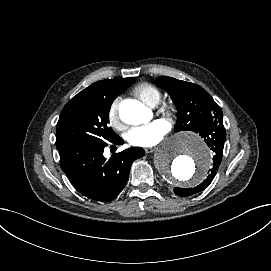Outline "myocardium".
Listing matches in <instances>:
<instances>
[{"label": "myocardium", "instance_id": "f54148a6", "mask_svg": "<svg viewBox=\"0 0 271 271\" xmlns=\"http://www.w3.org/2000/svg\"><path fill=\"white\" fill-rule=\"evenodd\" d=\"M159 114L168 119L169 121H173L176 118L177 110L174 105L164 104L159 109Z\"/></svg>", "mask_w": 271, "mask_h": 271}]
</instances>
